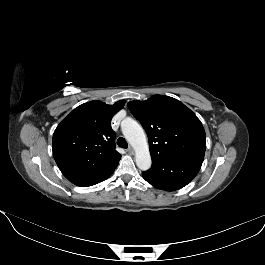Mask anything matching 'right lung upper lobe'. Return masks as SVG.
<instances>
[{
    "instance_id": "1",
    "label": "right lung upper lobe",
    "mask_w": 265,
    "mask_h": 265,
    "mask_svg": "<svg viewBox=\"0 0 265 265\" xmlns=\"http://www.w3.org/2000/svg\"><path fill=\"white\" fill-rule=\"evenodd\" d=\"M125 105L124 100L108 105L91 101L75 108L57 126L52 150L61 172L86 168L108 169L118 164L112 116Z\"/></svg>"
}]
</instances>
